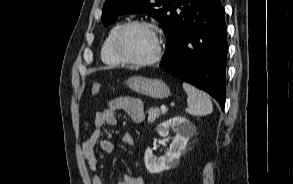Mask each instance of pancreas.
<instances>
[{
	"label": "pancreas",
	"instance_id": "pancreas-1",
	"mask_svg": "<svg viewBox=\"0 0 293 184\" xmlns=\"http://www.w3.org/2000/svg\"><path fill=\"white\" fill-rule=\"evenodd\" d=\"M161 115L160 110L157 107H151L148 109V123H153Z\"/></svg>",
	"mask_w": 293,
	"mask_h": 184
}]
</instances>
